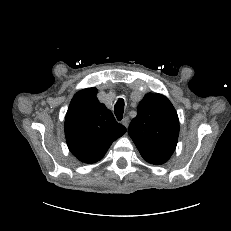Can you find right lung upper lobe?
<instances>
[{
	"mask_svg": "<svg viewBox=\"0 0 231 231\" xmlns=\"http://www.w3.org/2000/svg\"><path fill=\"white\" fill-rule=\"evenodd\" d=\"M96 88L79 91L73 97L65 118L69 150L81 162L100 160L111 144L126 132L113 114L101 104Z\"/></svg>",
	"mask_w": 231,
	"mask_h": 231,
	"instance_id": "1",
	"label": "right lung upper lobe"
}]
</instances>
